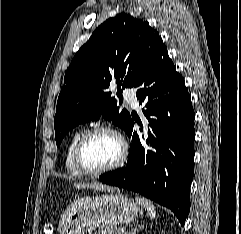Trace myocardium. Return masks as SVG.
<instances>
[{"label": "myocardium", "mask_w": 241, "mask_h": 234, "mask_svg": "<svg viewBox=\"0 0 241 234\" xmlns=\"http://www.w3.org/2000/svg\"><path fill=\"white\" fill-rule=\"evenodd\" d=\"M98 133H109V134L115 136L120 143L121 152H120L118 159L113 164L100 168V169H89L88 167L85 166V164L83 162L82 153H83V149H84V146L87 143V141L92 136H94L95 134H98ZM128 153H129L128 144L119 132H117L116 130H114L113 128L108 127V126H96L94 128H91V129L85 131L82 134V136L80 137V139L78 140V142L75 146V150H74V163H75V166L77 167V169L83 175L99 176V175L114 171V170L118 169L119 167H121L126 162Z\"/></svg>", "instance_id": "1"}]
</instances>
